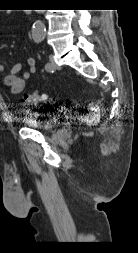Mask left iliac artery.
<instances>
[{
	"label": "left iliac artery",
	"mask_w": 138,
	"mask_h": 253,
	"mask_svg": "<svg viewBox=\"0 0 138 253\" xmlns=\"http://www.w3.org/2000/svg\"><path fill=\"white\" fill-rule=\"evenodd\" d=\"M45 69H46L47 71H51V65H50V63H46V64H45Z\"/></svg>",
	"instance_id": "obj_1"
}]
</instances>
